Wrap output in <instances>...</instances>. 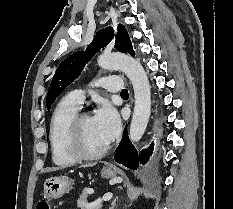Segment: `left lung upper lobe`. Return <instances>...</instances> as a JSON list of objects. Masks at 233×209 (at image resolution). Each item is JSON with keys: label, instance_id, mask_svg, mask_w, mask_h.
Wrapping results in <instances>:
<instances>
[{"label": "left lung upper lobe", "instance_id": "1", "mask_svg": "<svg viewBox=\"0 0 233 209\" xmlns=\"http://www.w3.org/2000/svg\"><path fill=\"white\" fill-rule=\"evenodd\" d=\"M113 36L114 31L112 28L102 29L95 35L93 41L86 48L85 52H75L61 62L50 84L46 99L47 110H50V106L63 89L79 76L85 63L88 62L101 48L108 45L113 39ZM115 48L122 53H129L132 56L135 55L127 30L122 24L118 25Z\"/></svg>", "mask_w": 233, "mask_h": 209}]
</instances>
